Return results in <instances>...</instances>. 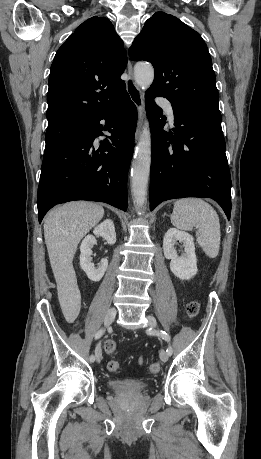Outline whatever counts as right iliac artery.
I'll return each instance as SVG.
<instances>
[{
	"label": "right iliac artery",
	"mask_w": 261,
	"mask_h": 459,
	"mask_svg": "<svg viewBox=\"0 0 261 459\" xmlns=\"http://www.w3.org/2000/svg\"><path fill=\"white\" fill-rule=\"evenodd\" d=\"M104 333H105V329H100V330L96 333L95 339H99ZM94 359H95L94 355H91V356L89 357L90 362H93Z\"/></svg>",
	"instance_id": "82829eb1"
}]
</instances>
